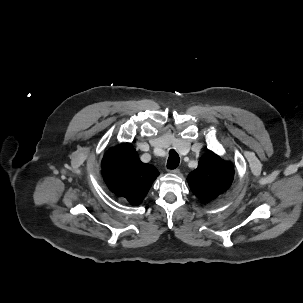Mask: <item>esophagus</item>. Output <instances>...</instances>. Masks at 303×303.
Returning <instances> with one entry per match:
<instances>
[{
	"instance_id": "obj_1",
	"label": "esophagus",
	"mask_w": 303,
	"mask_h": 303,
	"mask_svg": "<svg viewBox=\"0 0 303 303\" xmlns=\"http://www.w3.org/2000/svg\"><path fill=\"white\" fill-rule=\"evenodd\" d=\"M170 172L173 174H178L180 172V170L178 168H176V169L170 170Z\"/></svg>"
}]
</instances>
